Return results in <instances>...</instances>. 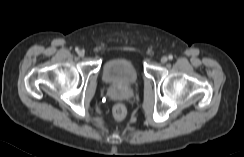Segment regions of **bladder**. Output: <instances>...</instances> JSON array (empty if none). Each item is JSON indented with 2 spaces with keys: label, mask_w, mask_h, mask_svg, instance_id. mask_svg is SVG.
<instances>
[{
  "label": "bladder",
  "mask_w": 244,
  "mask_h": 157,
  "mask_svg": "<svg viewBox=\"0 0 244 157\" xmlns=\"http://www.w3.org/2000/svg\"><path fill=\"white\" fill-rule=\"evenodd\" d=\"M101 78L110 87L122 91L137 85L139 73L131 60L124 57H113L102 65Z\"/></svg>",
  "instance_id": "31cf9c89"
}]
</instances>
